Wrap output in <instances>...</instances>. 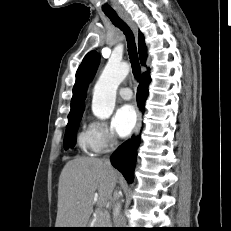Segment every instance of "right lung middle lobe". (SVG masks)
Instances as JSON below:
<instances>
[{
    "instance_id": "right-lung-middle-lobe-1",
    "label": "right lung middle lobe",
    "mask_w": 231,
    "mask_h": 231,
    "mask_svg": "<svg viewBox=\"0 0 231 231\" xmlns=\"http://www.w3.org/2000/svg\"><path fill=\"white\" fill-rule=\"evenodd\" d=\"M82 114L68 117V124L66 126V133L64 138V148L68 149L74 147L76 143V133L81 121Z\"/></svg>"
}]
</instances>
